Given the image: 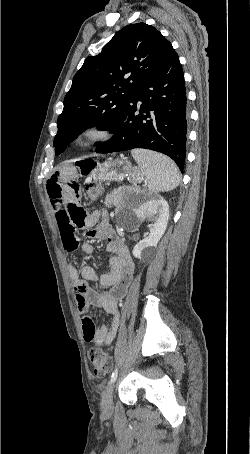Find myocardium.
<instances>
[{"instance_id": "f54148a6", "label": "myocardium", "mask_w": 250, "mask_h": 454, "mask_svg": "<svg viewBox=\"0 0 250 454\" xmlns=\"http://www.w3.org/2000/svg\"><path fill=\"white\" fill-rule=\"evenodd\" d=\"M109 137V131L101 123L84 127L76 136V141L81 145H90L103 141Z\"/></svg>"}]
</instances>
